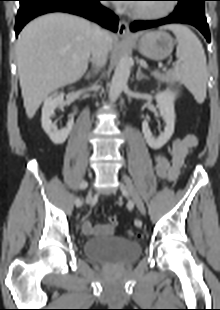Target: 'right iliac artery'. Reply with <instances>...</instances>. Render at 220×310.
I'll return each mask as SVG.
<instances>
[{"instance_id": "right-iliac-artery-1", "label": "right iliac artery", "mask_w": 220, "mask_h": 310, "mask_svg": "<svg viewBox=\"0 0 220 310\" xmlns=\"http://www.w3.org/2000/svg\"><path fill=\"white\" fill-rule=\"evenodd\" d=\"M86 187H87V182H85V181L81 182L80 185H79L80 189H85ZM75 204H76L77 207L81 206L82 202H81L80 198L77 197L75 199Z\"/></svg>"}]
</instances>
